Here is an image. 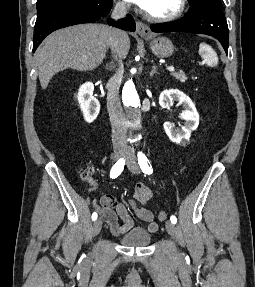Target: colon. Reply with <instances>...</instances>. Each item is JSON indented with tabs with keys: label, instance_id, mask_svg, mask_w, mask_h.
I'll return each mask as SVG.
<instances>
[{
	"label": "colon",
	"instance_id": "5ec220e1",
	"mask_svg": "<svg viewBox=\"0 0 255 287\" xmlns=\"http://www.w3.org/2000/svg\"><path fill=\"white\" fill-rule=\"evenodd\" d=\"M83 178L86 179V180H89V173L88 172H83ZM157 215V218L161 221L165 220L166 217H167V213L164 212V211H158L156 213Z\"/></svg>",
	"mask_w": 255,
	"mask_h": 287
}]
</instances>
